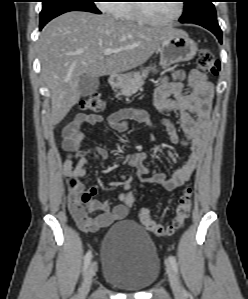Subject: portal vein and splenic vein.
Here are the masks:
<instances>
[{"instance_id": "18ae733b", "label": "portal vein and splenic vein", "mask_w": 248, "mask_h": 299, "mask_svg": "<svg viewBox=\"0 0 248 299\" xmlns=\"http://www.w3.org/2000/svg\"><path fill=\"white\" fill-rule=\"evenodd\" d=\"M120 51H122L121 49H111V48H107L104 50V55L108 56L111 55L113 53H119Z\"/></svg>"}]
</instances>
